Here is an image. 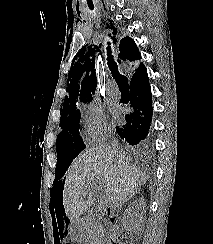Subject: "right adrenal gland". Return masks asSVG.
Returning <instances> with one entry per match:
<instances>
[{"mask_svg":"<svg viewBox=\"0 0 213 244\" xmlns=\"http://www.w3.org/2000/svg\"><path fill=\"white\" fill-rule=\"evenodd\" d=\"M139 191H135L128 199H130L132 196H134L135 194H138Z\"/></svg>","mask_w":213,"mask_h":244,"instance_id":"2a0ac1e0","label":"right adrenal gland"}]
</instances>
